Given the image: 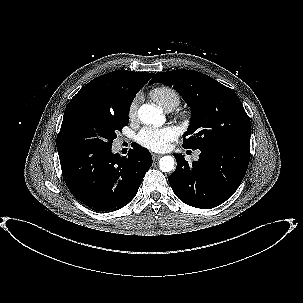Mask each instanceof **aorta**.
Returning <instances> with one entry per match:
<instances>
[{
	"label": "aorta",
	"mask_w": 303,
	"mask_h": 303,
	"mask_svg": "<svg viewBox=\"0 0 303 303\" xmlns=\"http://www.w3.org/2000/svg\"><path fill=\"white\" fill-rule=\"evenodd\" d=\"M138 116L145 124L159 126L164 121L162 110L156 105H142L138 110ZM159 167L162 172L172 171L174 169V158L172 156H163L159 161Z\"/></svg>",
	"instance_id": "1"
}]
</instances>
